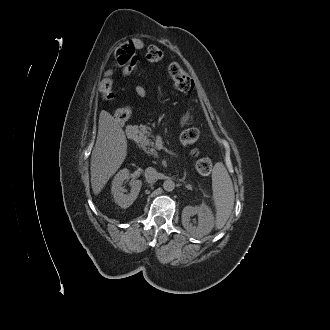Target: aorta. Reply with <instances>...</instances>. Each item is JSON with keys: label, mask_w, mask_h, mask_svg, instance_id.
<instances>
[{"label": "aorta", "mask_w": 330, "mask_h": 330, "mask_svg": "<svg viewBox=\"0 0 330 330\" xmlns=\"http://www.w3.org/2000/svg\"><path fill=\"white\" fill-rule=\"evenodd\" d=\"M163 188L165 191L171 192L175 189V183L172 180H165L163 183Z\"/></svg>", "instance_id": "obj_1"}]
</instances>
